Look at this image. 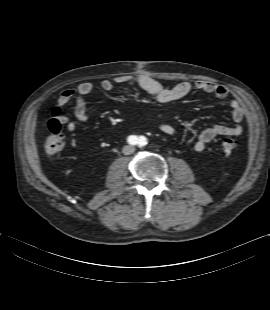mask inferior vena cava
Instances as JSON below:
<instances>
[{
	"instance_id": "obj_1",
	"label": "inferior vena cava",
	"mask_w": 270,
	"mask_h": 310,
	"mask_svg": "<svg viewBox=\"0 0 270 310\" xmlns=\"http://www.w3.org/2000/svg\"><path fill=\"white\" fill-rule=\"evenodd\" d=\"M135 148L133 146L127 145L125 147H123V154L125 155H129L132 154L134 152Z\"/></svg>"
}]
</instances>
